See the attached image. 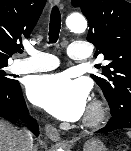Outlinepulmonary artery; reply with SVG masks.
Masks as SVG:
<instances>
[{"instance_id": "e3ab8cb5", "label": "pulmonary artery", "mask_w": 131, "mask_h": 151, "mask_svg": "<svg viewBox=\"0 0 131 151\" xmlns=\"http://www.w3.org/2000/svg\"><path fill=\"white\" fill-rule=\"evenodd\" d=\"M30 57L16 61L12 66L14 73H33L55 69L59 65L58 59L49 53L41 52L35 49H29ZM68 55L76 61H86L91 56L89 44L82 41H76L69 45Z\"/></svg>"}]
</instances>
